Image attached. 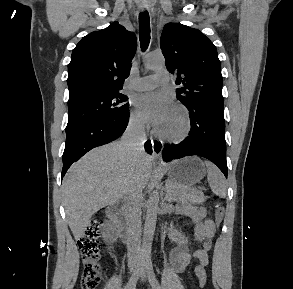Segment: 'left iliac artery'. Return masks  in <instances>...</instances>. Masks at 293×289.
<instances>
[{
	"mask_svg": "<svg viewBox=\"0 0 293 289\" xmlns=\"http://www.w3.org/2000/svg\"><path fill=\"white\" fill-rule=\"evenodd\" d=\"M145 267H146V272H147L148 279H149V282H150L152 289H161L159 282L156 279V276H155V273L153 270V266H152V261L150 258H147L145 260Z\"/></svg>",
	"mask_w": 293,
	"mask_h": 289,
	"instance_id": "1",
	"label": "left iliac artery"
}]
</instances>
